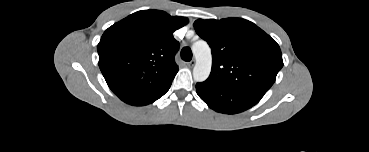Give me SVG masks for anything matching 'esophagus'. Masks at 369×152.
I'll return each instance as SVG.
<instances>
[{
    "label": "esophagus",
    "mask_w": 369,
    "mask_h": 152,
    "mask_svg": "<svg viewBox=\"0 0 369 152\" xmlns=\"http://www.w3.org/2000/svg\"><path fill=\"white\" fill-rule=\"evenodd\" d=\"M195 63H196L195 60H192V61H190V62L187 63V66L189 68H192L195 65Z\"/></svg>",
    "instance_id": "obj_1"
}]
</instances>
